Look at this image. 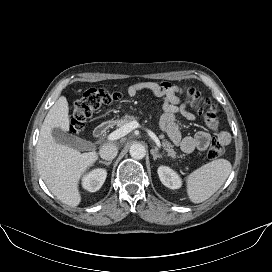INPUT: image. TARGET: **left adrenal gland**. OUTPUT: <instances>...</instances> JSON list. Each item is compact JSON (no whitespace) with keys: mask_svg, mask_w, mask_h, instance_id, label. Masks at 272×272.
I'll return each instance as SVG.
<instances>
[{"mask_svg":"<svg viewBox=\"0 0 272 272\" xmlns=\"http://www.w3.org/2000/svg\"><path fill=\"white\" fill-rule=\"evenodd\" d=\"M151 154L153 156L154 161L157 160V158H162V155L156 153L154 149H151Z\"/></svg>","mask_w":272,"mask_h":272,"instance_id":"1","label":"left adrenal gland"}]
</instances>
